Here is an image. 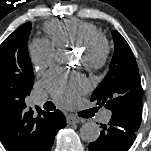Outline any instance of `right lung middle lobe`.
Returning <instances> with one entry per match:
<instances>
[{"label": "right lung middle lobe", "instance_id": "1", "mask_svg": "<svg viewBox=\"0 0 151 151\" xmlns=\"http://www.w3.org/2000/svg\"><path fill=\"white\" fill-rule=\"evenodd\" d=\"M31 23H25L0 45V95H29L34 73L27 50Z\"/></svg>", "mask_w": 151, "mask_h": 151}]
</instances>
